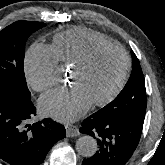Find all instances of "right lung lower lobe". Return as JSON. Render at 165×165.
<instances>
[{"label":"right lung lower lobe","mask_w":165,"mask_h":165,"mask_svg":"<svg viewBox=\"0 0 165 165\" xmlns=\"http://www.w3.org/2000/svg\"><path fill=\"white\" fill-rule=\"evenodd\" d=\"M35 115L31 98L0 91V159L10 165H40L65 137L64 126L50 118L30 125Z\"/></svg>","instance_id":"98d812e1"}]
</instances>
